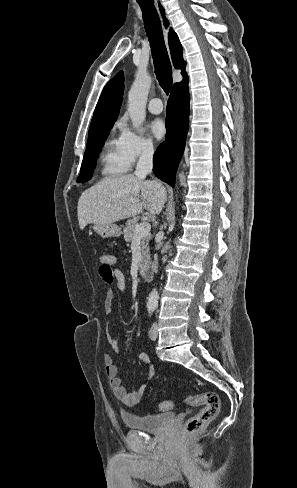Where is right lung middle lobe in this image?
Here are the masks:
<instances>
[{"instance_id":"1","label":"right lung middle lobe","mask_w":297,"mask_h":488,"mask_svg":"<svg viewBox=\"0 0 297 488\" xmlns=\"http://www.w3.org/2000/svg\"><path fill=\"white\" fill-rule=\"evenodd\" d=\"M113 124L98 126L89 132L86 151L82 161L81 172L77 182L84 183L91 179L93 169L96 166V158L101 152L104 140L108 137Z\"/></svg>"}]
</instances>
